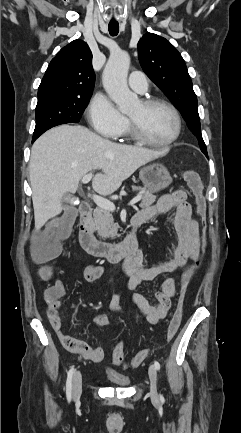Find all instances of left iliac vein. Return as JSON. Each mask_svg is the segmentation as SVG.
Listing matches in <instances>:
<instances>
[{
  "mask_svg": "<svg viewBox=\"0 0 241 433\" xmlns=\"http://www.w3.org/2000/svg\"><path fill=\"white\" fill-rule=\"evenodd\" d=\"M148 374L150 378V394L151 399L153 401H157L159 398L158 392H157V371L156 368L153 365L149 366Z\"/></svg>",
  "mask_w": 241,
  "mask_h": 433,
  "instance_id": "1",
  "label": "left iliac vein"
}]
</instances>
